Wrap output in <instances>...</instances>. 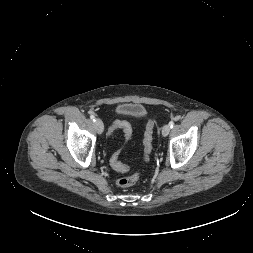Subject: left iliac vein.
Listing matches in <instances>:
<instances>
[{"mask_svg": "<svg viewBox=\"0 0 253 253\" xmlns=\"http://www.w3.org/2000/svg\"><path fill=\"white\" fill-rule=\"evenodd\" d=\"M170 125L169 124H166V125H164L163 126V128H162V135L165 137V136H167L168 134H169V132H170Z\"/></svg>", "mask_w": 253, "mask_h": 253, "instance_id": "left-iliac-vein-1", "label": "left iliac vein"}]
</instances>
